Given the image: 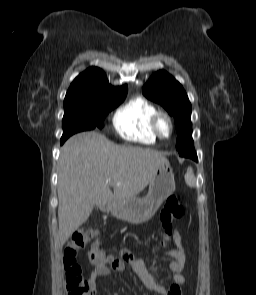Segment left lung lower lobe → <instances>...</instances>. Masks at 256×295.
Here are the masks:
<instances>
[{
    "label": "left lung lower lobe",
    "instance_id": "left-lung-lower-lobe-1",
    "mask_svg": "<svg viewBox=\"0 0 256 295\" xmlns=\"http://www.w3.org/2000/svg\"><path fill=\"white\" fill-rule=\"evenodd\" d=\"M186 157H189L195 161H198V158H197V155H196V152H195V149H192V150H189L187 153H186Z\"/></svg>",
    "mask_w": 256,
    "mask_h": 295
}]
</instances>
